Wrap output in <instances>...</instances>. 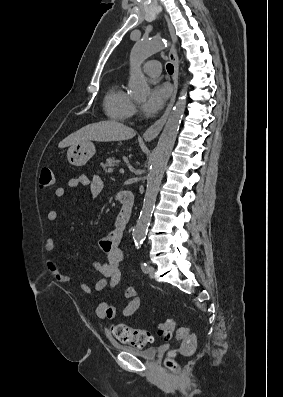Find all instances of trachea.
I'll return each mask as SVG.
<instances>
[{
	"label": "trachea",
	"instance_id": "obj_1",
	"mask_svg": "<svg viewBox=\"0 0 283 397\" xmlns=\"http://www.w3.org/2000/svg\"><path fill=\"white\" fill-rule=\"evenodd\" d=\"M166 69H167V71H168L169 74H173V72H174V67H173L172 64H170V63L167 64Z\"/></svg>",
	"mask_w": 283,
	"mask_h": 397
}]
</instances>
